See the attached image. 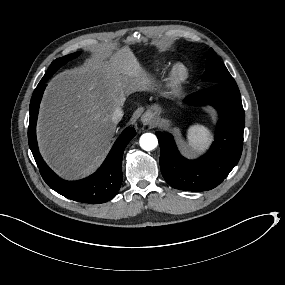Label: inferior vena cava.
<instances>
[{"label": "inferior vena cava", "mask_w": 285, "mask_h": 285, "mask_svg": "<svg viewBox=\"0 0 285 285\" xmlns=\"http://www.w3.org/2000/svg\"><path fill=\"white\" fill-rule=\"evenodd\" d=\"M123 117V111L121 108H117L112 116L113 123L117 124Z\"/></svg>", "instance_id": "obj_1"}]
</instances>
